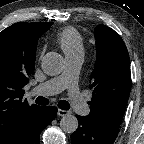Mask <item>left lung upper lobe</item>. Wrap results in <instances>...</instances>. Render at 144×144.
<instances>
[{
  "instance_id": "5c2ea615",
  "label": "left lung upper lobe",
  "mask_w": 144,
  "mask_h": 144,
  "mask_svg": "<svg viewBox=\"0 0 144 144\" xmlns=\"http://www.w3.org/2000/svg\"><path fill=\"white\" fill-rule=\"evenodd\" d=\"M97 60L91 74L93 97L89 120L104 129L119 131L130 89V60L122 38L102 24L95 28Z\"/></svg>"
}]
</instances>
